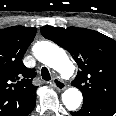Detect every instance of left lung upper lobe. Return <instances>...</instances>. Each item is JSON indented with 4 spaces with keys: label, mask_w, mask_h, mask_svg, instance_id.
I'll list each match as a JSON object with an SVG mask.
<instances>
[{
    "label": "left lung upper lobe",
    "mask_w": 116,
    "mask_h": 116,
    "mask_svg": "<svg viewBox=\"0 0 116 116\" xmlns=\"http://www.w3.org/2000/svg\"><path fill=\"white\" fill-rule=\"evenodd\" d=\"M42 35L66 49L79 70L72 85L83 98L116 102V41L90 29L45 26Z\"/></svg>",
    "instance_id": "left-lung-upper-lobe-1"
}]
</instances>
